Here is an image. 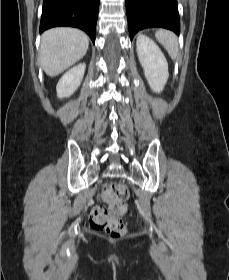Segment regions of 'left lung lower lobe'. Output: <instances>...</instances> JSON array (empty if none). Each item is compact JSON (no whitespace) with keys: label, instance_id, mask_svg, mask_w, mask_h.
<instances>
[{"label":"left lung lower lobe","instance_id":"left-lung-lower-lobe-1","mask_svg":"<svg viewBox=\"0 0 229 280\" xmlns=\"http://www.w3.org/2000/svg\"><path fill=\"white\" fill-rule=\"evenodd\" d=\"M130 39L142 29L162 27L180 33L177 0H126Z\"/></svg>","mask_w":229,"mask_h":280}]
</instances>
